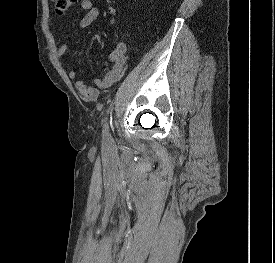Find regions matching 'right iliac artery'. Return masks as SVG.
Masks as SVG:
<instances>
[{
    "instance_id": "right-iliac-artery-1",
    "label": "right iliac artery",
    "mask_w": 275,
    "mask_h": 263,
    "mask_svg": "<svg viewBox=\"0 0 275 263\" xmlns=\"http://www.w3.org/2000/svg\"><path fill=\"white\" fill-rule=\"evenodd\" d=\"M103 135L107 141L111 139V135L109 133L108 119L106 118L105 124L103 126Z\"/></svg>"
}]
</instances>
